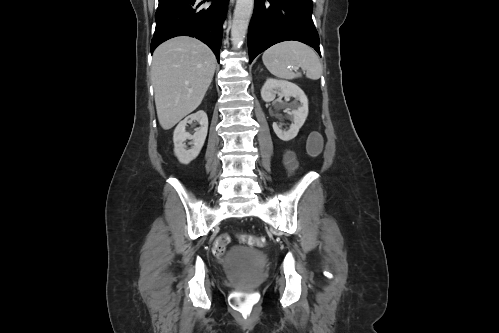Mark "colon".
Wrapping results in <instances>:
<instances>
[{
  "instance_id": "5ec220e1",
  "label": "colon",
  "mask_w": 499,
  "mask_h": 333,
  "mask_svg": "<svg viewBox=\"0 0 499 333\" xmlns=\"http://www.w3.org/2000/svg\"><path fill=\"white\" fill-rule=\"evenodd\" d=\"M323 138L322 135L317 132H311L307 140V152L311 157H318L322 152ZM239 238L252 246L261 247L265 244V239L262 237L241 234ZM230 242V236L227 233L219 235L213 242L212 252L217 258H221L226 247ZM258 301V297L252 292H246L241 290H235L231 293L229 297V304L236 312L243 316H248L252 312L254 306Z\"/></svg>"
}]
</instances>
